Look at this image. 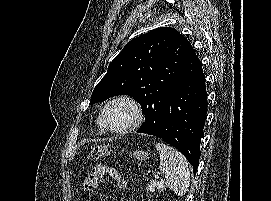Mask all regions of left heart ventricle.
<instances>
[{"instance_id": "b2bd125f", "label": "left heart ventricle", "mask_w": 271, "mask_h": 201, "mask_svg": "<svg viewBox=\"0 0 271 201\" xmlns=\"http://www.w3.org/2000/svg\"><path fill=\"white\" fill-rule=\"evenodd\" d=\"M106 120L111 127L121 129L133 122L134 112L127 103L117 102L107 109Z\"/></svg>"}]
</instances>
